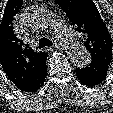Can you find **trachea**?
I'll list each match as a JSON object with an SVG mask.
<instances>
[{
    "instance_id": "1",
    "label": "trachea",
    "mask_w": 113,
    "mask_h": 113,
    "mask_svg": "<svg viewBox=\"0 0 113 113\" xmlns=\"http://www.w3.org/2000/svg\"><path fill=\"white\" fill-rule=\"evenodd\" d=\"M52 45H53V43H52L51 40L43 37L39 40V46L38 47H39V49H41L45 46H52Z\"/></svg>"
}]
</instances>
